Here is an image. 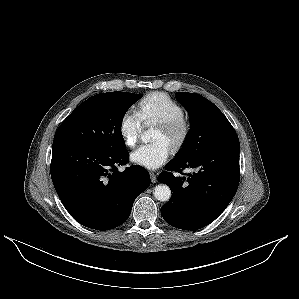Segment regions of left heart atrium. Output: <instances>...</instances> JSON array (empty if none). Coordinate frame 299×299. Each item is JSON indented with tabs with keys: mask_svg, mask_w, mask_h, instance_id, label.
<instances>
[{
	"mask_svg": "<svg viewBox=\"0 0 299 299\" xmlns=\"http://www.w3.org/2000/svg\"><path fill=\"white\" fill-rule=\"evenodd\" d=\"M170 145L164 140L142 144L131 154V160L148 169H157L169 158Z\"/></svg>",
	"mask_w": 299,
	"mask_h": 299,
	"instance_id": "obj_1",
	"label": "left heart atrium"
}]
</instances>
